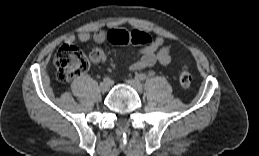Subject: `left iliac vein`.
Instances as JSON below:
<instances>
[{
	"label": "left iliac vein",
	"mask_w": 259,
	"mask_h": 156,
	"mask_svg": "<svg viewBox=\"0 0 259 156\" xmlns=\"http://www.w3.org/2000/svg\"><path fill=\"white\" fill-rule=\"evenodd\" d=\"M127 84L135 89L137 92L141 93L143 91V85L137 79H128Z\"/></svg>",
	"instance_id": "obj_1"
}]
</instances>
